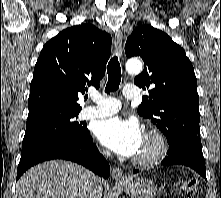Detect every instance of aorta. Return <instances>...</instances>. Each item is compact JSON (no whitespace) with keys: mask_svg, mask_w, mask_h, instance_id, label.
Returning <instances> with one entry per match:
<instances>
[{"mask_svg":"<svg viewBox=\"0 0 221 198\" xmlns=\"http://www.w3.org/2000/svg\"><path fill=\"white\" fill-rule=\"evenodd\" d=\"M126 71L130 74H137L142 71V63L139 59H131L126 63Z\"/></svg>","mask_w":221,"mask_h":198,"instance_id":"obj_1","label":"aorta"}]
</instances>
